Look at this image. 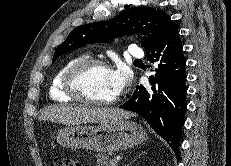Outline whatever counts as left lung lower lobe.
Listing matches in <instances>:
<instances>
[{
  "label": "left lung lower lobe",
  "mask_w": 231,
  "mask_h": 166,
  "mask_svg": "<svg viewBox=\"0 0 231 166\" xmlns=\"http://www.w3.org/2000/svg\"><path fill=\"white\" fill-rule=\"evenodd\" d=\"M156 73L149 77L150 86L136 88L129 101L120 108L136 112L179 155L182 126L185 122L186 60L178 28L170 29L163 39L146 52Z\"/></svg>",
  "instance_id": "left-lung-lower-lobe-1"
}]
</instances>
